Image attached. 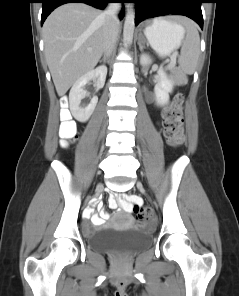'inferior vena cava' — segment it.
<instances>
[{"instance_id": "602c4592", "label": "inferior vena cava", "mask_w": 239, "mask_h": 296, "mask_svg": "<svg viewBox=\"0 0 239 296\" xmlns=\"http://www.w3.org/2000/svg\"><path fill=\"white\" fill-rule=\"evenodd\" d=\"M121 9V3H109L103 12L105 18L104 32V55H110L117 39L119 30L118 13Z\"/></svg>"}]
</instances>
